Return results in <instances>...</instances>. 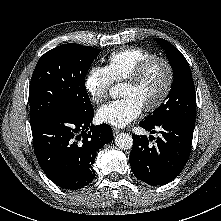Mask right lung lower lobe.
<instances>
[{
  "mask_svg": "<svg viewBox=\"0 0 221 221\" xmlns=\"http://www.w3.org/2000/svg\"><path fill=\"white\" fill-rule=\"evenodd\" d=\"M94 110L54 112L31 124L34 151L47 177L64 189H79L95 178L96 152L113 139L107 124H92Z\"/></svg>",
  "mask_w": 221,
  "mask_h": 221,
  "instance_id": "obj_1",
  "label": "right lung lower lobe"
}]
</instances>
